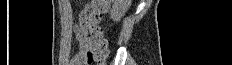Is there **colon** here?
<instances>
[{
    "label": "colon",
    "mask_w": 232,
    "mask_h": 65,
    "mask_svg": "<svg viewBox=\"0 0 232 65\" xmlns=\"http://www.w3.org/2000/svg\"><path fill=\"white\" fill-rule=\"evenodd\" d=\"M110 0H91L80 12V23L87 41L88 63L103 65L108 57V45L100 26L103 15L107 12Z\"/></svg>",
    "instance_id": "1"
}]
</instances>
